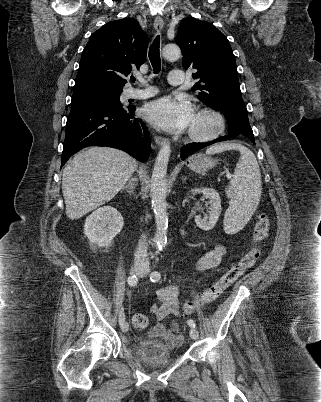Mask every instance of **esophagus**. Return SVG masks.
Instances as JSON below:
<instances>
[{
  "label": "esophagus",
  "mask_w": 321,
  "mask_h": 402,
  "mask_svg": "<svg viewBox=\"0 0 321 402\" xmlns=\"http://www.w3.org/2000/svg\"><path fill=\"white\" fill-rule=\"evenodd\" d=\"M164 22L161 17H156L154 21V28L157 32L161 31L163 28ZM155 142L158 146L165 145L167 143V139L162 136H155Z\"/></svg>",
  "instance_id": "1"
}]
</instances>
